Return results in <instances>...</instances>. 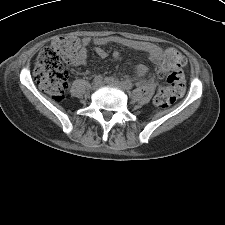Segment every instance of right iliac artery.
Listing matches in <instances>:
<instances>
[{"mask_svg":"<svg viewBox=\"0 0 225 225\" xmlns=\"http://www.w3.org/2000/svg\"><path fill=\"white\" fill-rule=\"evenodd\" d=\"M102 80H103L102 75H97V76H95V78H94V82H101Z\"/></svg>","mask_w":225,"mask_h":225,"instance_id":"1","label":"right iliac artery"}]
</instances>
